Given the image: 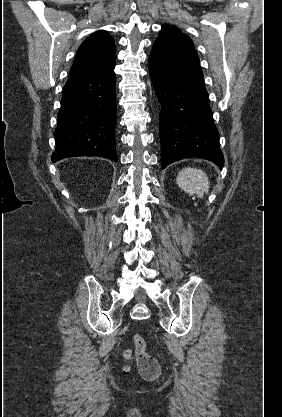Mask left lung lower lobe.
<instances>
[{
	"mask_svg": "<svg viewBox=\"0 0 282 417\" xmlns=\"http://www.w3.org/2000/svg\"><path fill=\"white\" fill-rule=\"evenodd\" d=\"M149 72L161 104V168L177 160L197 157L213 161L222 169L219 133L195 49L154 43Z\"/></svg>",
	"mask_w": 282,
	"mask_h": 417,
	"instance_id": "0a47b994",
	"label": "left lung lower lobe"
}]
</instances>
